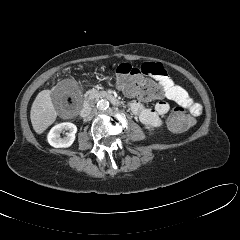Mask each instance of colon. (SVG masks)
<instances>
[{
	"mask_svg": "<svg viewBox=\"0 0 240 240\" xmlns=\"http://www.w3.org/2000/svg\"><path fill=\"white\" fill-rule=\"evenodd\" d=\"M109 70L116 75L119 87L128 95L142 100L160 99L164 95L163 87L156 81L146 77L140 67L128 63L112 64ZM193 124V118L183 108H175L168 118V126L174 132H183Z\"/></svg>",
	"mask_w": 240,
	"mask_h": 240,
	"instance_id": "5ec220e1",
	"label": "colon"
}]
</instances>
